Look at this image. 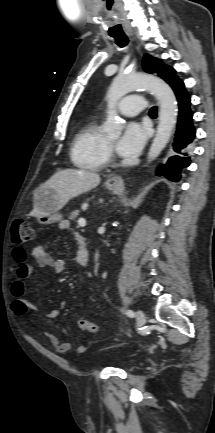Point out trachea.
<instances>
[{"label":"trachea","mask_w":215,"mask_h":433,"mask_svg":"<svg viewBox=\"0 0 215 433\" xmlns=\"http://www.w3.org/2000/svg\"><path fill=\"white\" fill-rule=\"evenodd\" d=\"M115 39V42L118 46L120 47H124L128 44V39L125 35H117V36H112ZM150 114H156L157 113V108L154 106L150 109Z\"/></svg>","instance_id":"1"}]
</instances>
